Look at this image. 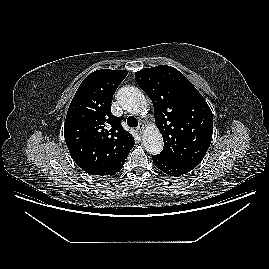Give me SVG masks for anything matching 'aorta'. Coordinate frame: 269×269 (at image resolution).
<instances>
[{
  "label": "aorta",
  "mask_w": 269,
  "mask_h": 269,
  "mask_svg": "<svg viewBox=\"0 0 269 269\" xmlns=\"http://www.w3.org/2000/svg\"><path fill=\"white\" fill-rule=\"evenodd\" d=\"M117 99L126 111L134 115L142 114L147 108L144 94L133 86L121 88ZM142 140L146 151L152 155L159 154L163 149V138L155 125L146 128Z\"/></svg>",
  "instance_id": "aorta-1"
}]
</instances>
